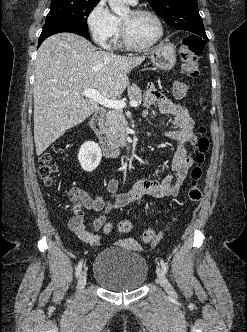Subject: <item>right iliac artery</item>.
<instances>
[{
    "label": "right iliac artery",
    "instance_id": "82829eb1",
    "mask_svg": "<svg viewBox=\"0 0 247 332\" xmlns=\"http://www.w3.org/2000/svg\"><path fill=\"white\" fill-rule=\"evenodd\" d=\"M81 269H82V261L81 262H79V264L77 265V267H76V277H78L79 276V274H80V272H81Z\"/></svg>",
    "mask_w": 247,
    "mask_h": 332
}]
</instances>
